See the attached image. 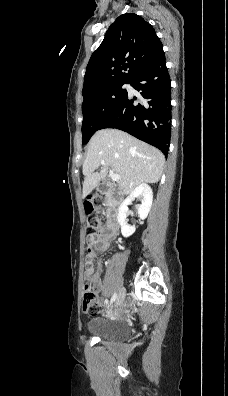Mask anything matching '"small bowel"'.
I'll return each mask as SVG.
<instances>
[{"mask_svg": "<svg viewBox=\"0 0 228 396\" xmlns=\"http://www.w3.org/2000/svg\"><path fill=\"white\" fill-rule=\"evenodd\" d=\"M115 237V231L110 229H100L98 230L92 239L87 241V254L85 257V278L89 279L93 283V289L96 293H101L103 290L102 284V270L98 269L95 271L94 268V258L97 253H102L107 251L111 242ZM128 305H125L121 312L115 314L117 318L122 317L127 313Z\"/></svg>", "mask_w": 228, "mask_h": 396, "instance_id": "small-bowel-1", "label": "small bowel"}]
</instances>
